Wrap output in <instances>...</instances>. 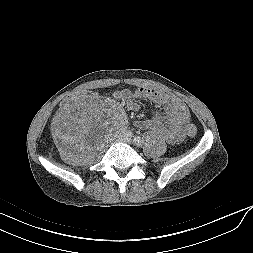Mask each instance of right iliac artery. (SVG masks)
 Segmentation results:
<instances>
[{
	"instance_id": "right-iliac-artery-1",
	"label": "right iliac artery",
	"mask_w": 253,
	"mask_h": 253,
	"mask_svg": "<svg viewBox=\"0 0 253 253\" xmlns=\"http://www.w3.org/2000/svg\"><path fill=\"white\" fill-rule=\"evenodd\" d=\"M125 134H126L127 137H132V132L131 131H126Z\"/></svg>"
}]
</instances>
